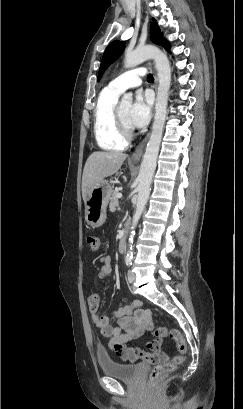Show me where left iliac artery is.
I'll return each mask as SVG.
<instances>
[{"instance_id":"left-iliac-artery-1","label":"left iliac artery","mask_w":243,"mask_h":409,"mask_svg":"<svg viewBox=\"0 0 243 409\" xmlns=\"http://www.w3.org/2000/svg\"><path fill=\"white\" fill-rule=\"evenodd\" d=\"M125 262H126V265H127V266H131V265H132V259H131V258H126Z\"/></svg>"}]
</instances>
